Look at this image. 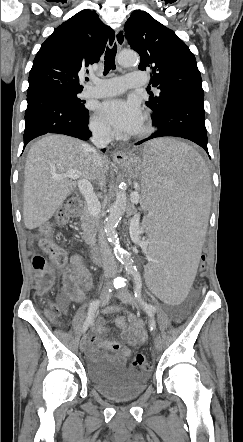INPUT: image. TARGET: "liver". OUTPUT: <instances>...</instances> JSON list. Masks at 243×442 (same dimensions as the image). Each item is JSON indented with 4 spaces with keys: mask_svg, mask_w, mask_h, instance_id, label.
Here are the masks:
<instances>
[{
    "mask_svg": "<svg viewBox=\"0 0 243 442\" xmlns=\"http://www.w3.org/2000/svg\"><path fill=\"white\" fill-rule=\"evenodd\" d=\"M93 153L89 144L58 134H48L32 145L24 171L23 219L27 229L47 222L77 186L76 181L55 180L54 175L78 170L82 179H98ZM108 168V159L103 156L99 169L104 176Z\"/></svg>",
    "mask_w": 243,
    "mask_h": 442,
    "instance_id": "liver-1",
    "label": "liver"
}]
</instances>
